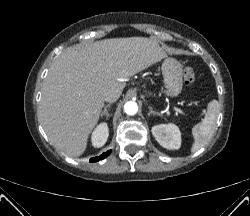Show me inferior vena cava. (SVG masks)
I'll use <instances>...</instances> for the list:
<instances>
[{"label":"inferior vena cava","mask_w":250,"mask_h":216,"mask_svg":"<svg viewBox=\"0 0 250 216\" xmlns=\"http://www.w3.org/2000/svg\"><path fill=\"white\" fill-rule=\"evenodd\" d=\"M121 95V91L118 89H110L104 93V100L107 102H115Z\"/></svg>","instance_id":"602c4592"}]
</instances>
